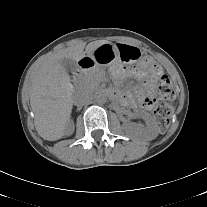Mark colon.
Listing matches in <instances>:
<instances>
[{"instance_id":"5ec220e1","label":"colon","mask_w":207,"mask_h":207,"mask_svg":"<svg viewBox=\"0 0 207 207\" xmlns=\"http://www.w3.org/2000/svg\"><path fill=\"white\" fill-rule=\"evenodd\" d=\"M149 62V72L157 76L161 73L162 68L158 63ZM156 96L161 101L154 110V116L157 122V126L161 132H165L171 122L173 114L172 107L165 101H170L175 97V90L167 76H161L158 87L156 89Z\"/></svg>"}]
</instances>
